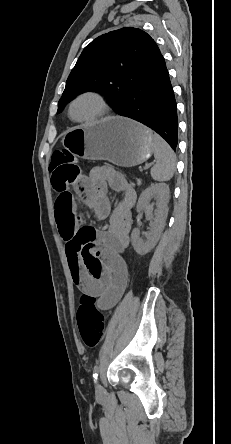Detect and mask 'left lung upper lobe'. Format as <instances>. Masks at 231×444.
<instances>
[{
  "label": "left lung upper lobe",
  "instance_id": "5c2ea615",
  "mask_svg": "<svg viewBox=\"0 0 231 444\" xmlns=\"http://www.w3.org/2000/svg\"><path fill=\"white\" fill-rule=\"evenodd\" d=\"M159 52L155 41L138 28H122L97 37L84 48L72 69L57 112L87 91L103 93L119 112L139 75Z\"/></svg>",
  "mask_w": 231,
  "mask_h": 444
}]
</instances>
